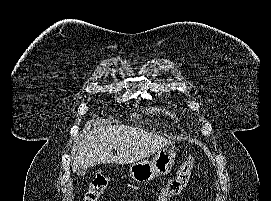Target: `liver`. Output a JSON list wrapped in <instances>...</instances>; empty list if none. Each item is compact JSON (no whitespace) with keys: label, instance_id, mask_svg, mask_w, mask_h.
I'll return each mask as SVG.
<instances>
[{"label":"liver","instance_id":"obj_1","mask_svg":"<svg viewBox=\"0 0 271 201\" xmlns=\"http://www.w3.org/2000/svg\"><path fill=\"white\" fill-rule=\"evenodd\" d=\"M172 140L126 125L100 124L98 119L86 124L82 138L77 141L72 171L99 164H130L141 161L167 145ZM113 149L117 155H113Z\"/></svg>","mask_w":271,"mask_h":201}]
</instances>
